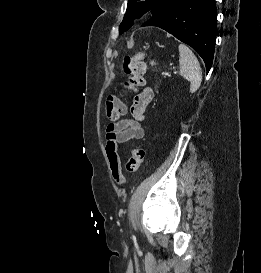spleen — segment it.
Returning a JSON list of instances; mask_svg holds the SVG:
<instances>
[{
    "instance_id": "spleen-1",
    "label": "spleen",
    "mask_w": 261,
    "mask_h": 273,
    "mask_svg": "<svg viewBox=\"0 0 261 273\" xmlns=\"http://www.w3.org/2000/svg\"><path fill=\"white\" fill-rule=\"evenodd\" d=\"M180 74L190 82V93L196 92L202 82V70L198 59L185 44L179 45Z\"/></svg>"
}]
</instances>
